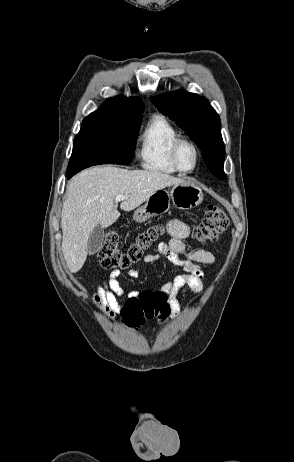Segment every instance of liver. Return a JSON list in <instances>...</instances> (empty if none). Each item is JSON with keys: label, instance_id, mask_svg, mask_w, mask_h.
<instances>
[{"label": "liver", "instance_id": "1", "mask_svg": "<svg viewBox=\"0 0 294 462\" xmlns=\"http://www.w3.org/2000/svg\"><path fill=\"white\" fill-rule=\"evenodd\" d=\"M184 182L171 175L147 170H126L113 166L86 169L69 182L61 214L62 252L72 273L84 265L88 238L92 230L111 226L120 212L115 206L118 195H127L120 208L132 211L154 192Z\"/></svg>", "mask_w": 294, "mask_h": 462}]
</instances>
